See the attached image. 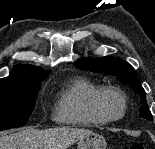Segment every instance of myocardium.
Returning <instances> with one entry per match:
<instances>
[{
  "label": "myocardium",
  "instance_id": "f54148a6",
  "mask_svg": "<svg viewBox=\"0 0 155 149\" xmlns=\"http://www.w3.org/2000/svg\"><path fill=\"white\" fill-rule=\"evenodd\" d=\"M108 97H116L121 101L122 110L118 115H113L107 109L105 102ZM95 107L98 113L103 118H105L109 122H114V121L121 120L125 116L128 108V103H127L126 96L119 89L115 87H103L97 92L95 96Z\"/></svg>",
  "mask_w": 155,
  "mask_h": 149
}]
</instances>
